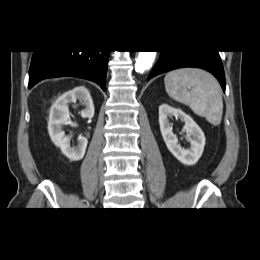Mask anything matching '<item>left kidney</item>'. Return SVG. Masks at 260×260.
Here are the masks:
<instances>
[{"mask_svg":"<svg viewBox=\"0 0 260 260\" xmlns=\"http://www.w3.org/2000/svg\"><path fill=\"white\" fill-rule=\"evenodd\" d=\"M173 116L185 123L186 137L190 141L188 149L181 147L177 136L172 132V125L168 118ZM159 125L166 146L174 157L185 165H194L201 157L205 146V135L195 121L182 110L162 104L159 107Z\"/></svg>","mask_w":260,"mask_h":260,"instance_id":"left-kidney-1","label":"left kidney"}]
</instances>
